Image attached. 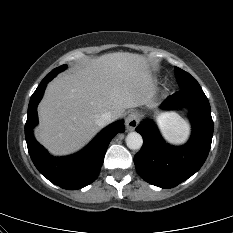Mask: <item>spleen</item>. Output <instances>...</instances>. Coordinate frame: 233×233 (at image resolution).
Segmentation results:
<instances>
[{
	"mask_svg": "<svg viewBox=\"0 0 233 233\" xmlns=\"http://www.w3.org/2000/svg\"><path fill=\"white\" fill-rule=\"evenodd\" d=\"M159 127L164 138L173 144L184 143L190 133L189 124L176 115L160 118Z\"/></svg>",
	"mask_w": 233,
	"mask_h": 233,
	"instance_id": "spleen-1",
	"label": "spleen"
}]
</instances>
